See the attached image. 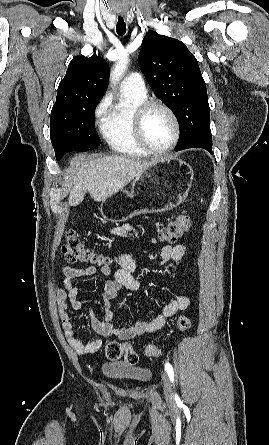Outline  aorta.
<instances>
[{"label":"aorta","mask_w":269,"mask_h":445,"mask_svg":"<svg viewBox=\"0 0 269 445\" xmlns=\"http://www.w3.org/2000/svg\"><path fill=\"white\" fill-rule=\"evenodd\" d=\"M128 62H129V60H128V58L127 57H122L118 62H117V64L115 65V67H114V70H113V72H112V79L113 80H116V79H118L120 76H121V74L125 71V69L127 68V65H128Z\"/></svg>","instance_id":"762f6f07"}]
</instances>
